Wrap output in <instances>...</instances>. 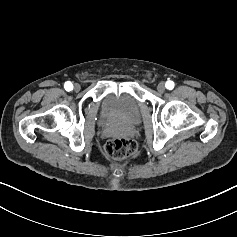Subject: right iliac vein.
Instances as JSON below:
<instances>
[{
  "label": "right iliac vein",
  "mask_w": 237,
  "mask_h": 237,
  "mask_svg": "<svg viewBox=\"0 0 237 237\" xmlns=\"http://www.w3.org/2000/svg\"><path fill=\"white\" fill-rule=\"evenodd\" d=\"M74 90L76 92H79L80 91V85L79 84H74Z\"/></svg>",
  "instance_id": "1"
}]
</instances>
